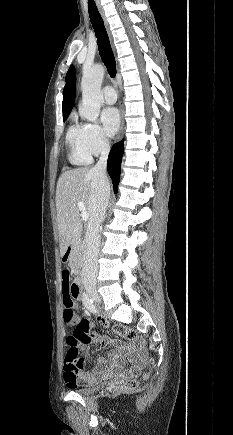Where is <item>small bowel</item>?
Listing matches in <instances>:
<instances>
[{
	"instance_id": "c3829d8e",
	"label": "small bowel",
	"mask_w": 233,
	"mask_h": 435,
	"mask_svg": "<svg viewBox=\"0 0 233 435\" xmlns=\"http://www.w3.org/2000/svg\"><path fill=\"white\" fill-rule=\"evenodd\" d=\"M73 285V284H72ZM72 285L70 281L65 284L61 279V291L63 294L73 295ZM81 301L83 302V296ZM93 322L86 318H79L78 324L75 327L70 337L77 338L78 349L86 347L88 344L94 342L102 346L112 347L109 356L113 361L135 354L136 357L131 358V365L125 369L117 363H109L108 360L101 358L96 362V371L92 373L84 372V363L76 364L68 362L66 358L62 364V380L68 387L74 388L77 385L93 384L97 380L98 375L105 376L110 372L118 370V374L123 377H136L142 373L146 363L142 359V354L145 352L141 340H132L128 348H124L121 344L116 342L111 336L107 334H98L91 331Z\"/></svg>"
}]
</instances>
